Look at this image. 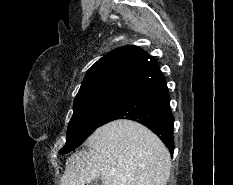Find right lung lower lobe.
<instances>
[{"label":"right lung lower lobe","mask_w":233,"mask_h":185,"mask_svg":"<svg viewBox=\"0 0 233 185\" xmlns=\"http://www.w3.org/2000/svg\"><path fill=\"white\" fill-rule=\"evenodd\" d=\"M116 119H130L145 125L173 154L174 117L166 80L161 72L130 90L99 126Z\"/></svg>","instance_id":"right-lung-lower-lobe-1"}]
</instances>
